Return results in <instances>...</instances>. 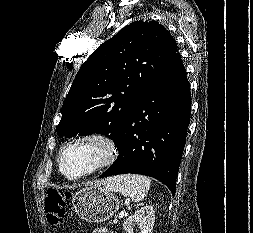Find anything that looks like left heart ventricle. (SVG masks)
<instances>
[{
    "label": "left heart ventricle",
    "mask_w": 253,
    "mask_h": 233,
    "mask_svg": "<svg viewBox=\"0 0 253 233\" xmlns=\"http://www.w3.org/2000/svg\"><path fill=\"white\" fill-rule=\"evenodd\" d=\"M102 150L93 144H81L70 148L63 157V169L68 175L89 170L100 159Z\"/></svg>",
    "instance_id": "obj_1"
}]
</instances>
